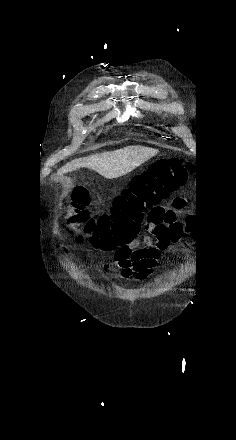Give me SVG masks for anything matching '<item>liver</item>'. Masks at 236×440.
<instances>
[{
	"label": "liver",
	"instance_id": "6515ba94",
	"mask_svg": "<svg viewBox=\"0 0 236 440\" xmlns=\"http://www.w3.org/2000/svg\"><path fill=\"white\" fill-rule=\"evenodd\" d=\"M158 150L143 146H128L111 152L97 153L88 157L78 158L57 171L58 176L79 168H89L104 178L114 179L128 174L146 160L155 156Z\"/></svg>",
	"mask_w": 236,
	"mask_h": 440
}]
</instances>
